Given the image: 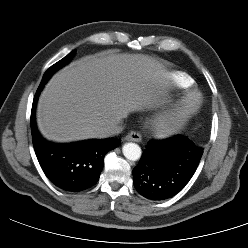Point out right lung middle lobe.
Returning a JSON list of instances; mask_svg holds the SVG:
<instances>
[{"label":"right lung middle lobe","instance_id":"obj_1","mask_svg":"<svg viewBox=\"0 0 248 248\" xmlns=\"http://www.w3.org/2000/svg\"><path fill=\"white\" fill-rule=\"evenodd\" d=\"M75 54V50H73L71 53H69L66 57L52 65L44 74L42 81L43 83H46L49 78L60 68H62L64 65L68 64L73 55Z\"/></svg>","mask_w":248,"mask_h":248}]
</instances>
